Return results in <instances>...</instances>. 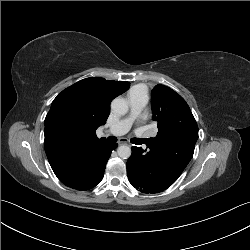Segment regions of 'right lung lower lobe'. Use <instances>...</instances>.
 Here are the masks:
<instances>
[{"label":"right lung lower lobe","instance_id":"1","mask_svg":"<svg viewBox=\"0 0 250 250\" xmlns=\"http://www.w3.org/2000/svg\"><path fill=\"white\" fill-rule=\"evenodd\" d=\"M117 146L118 144L109 143L108 141L98 145L85 162L87 170L85 179L76 186L65 185L77 190H88L95 187L103 179L107 161L112 150Z\"/></svg>","mask_w":250,"mask_h":250}]
</instances>
